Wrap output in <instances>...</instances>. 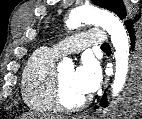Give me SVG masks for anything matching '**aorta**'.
<instances>
[{
	"instance_id": "aorta-1",
	"label": "aorta",
	"mask_w": 142,
	"mask_h": 119,
	"mask_svg": "<svg viewBox=\"0 0 142 119\" xmlns=\"http://www.w3.org/2000/svg\"><path fill=\"white\" fill-rule=\"evenodd\" d=\"M66 23L69 29L77 28L81 23H96L110 35L116 61L112 93L113 96H117L124 87L129 66V42L122 22L108 11L94 7H79L70 11ZM71 65L72 61L68 58L60 64L61 67Z\"/></svg>"
}]
</instances>
